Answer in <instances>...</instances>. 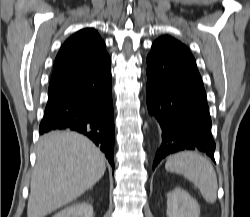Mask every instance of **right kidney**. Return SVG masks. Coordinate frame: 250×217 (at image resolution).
<instances>
[{
  "label": "right kidney",
  "mask_w": 250,
  "mask_h": 217,
  "mask_svg": "<svg viewBox=\"0 0 250 217\" xmlns=\"http://www.w3.org/2000/svg\"><path fill=\"white\" fill-rule=\"evenodd\" d=\"M53 217H93V207L87 202L72 204Z\"/></svg>",
  "instance_id": "obj_1"
}]
</instances>
